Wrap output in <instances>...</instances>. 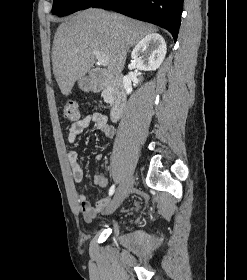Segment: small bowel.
Here are the masks:
<instances>
[{"label": "small bowel", "instance_id": "1", "mask_svg": "<svg viewBox=\"0 0 247 280\" xmlns=\"http://www.w3.org/2000/svg\"><path fill=\"white\" fill-rule=\"evenodd\" d=\"M90 125L96 130L104 133V135L109 139H112L115 136L116 130L114 126L108 122L107 117L101 113H93L85 116L84 118L78 119L71 124L67 137L69 145H74L77 136ZM95 159L97 161L102 160V155L97 154ZM68 161L74 181L81 182L84 174L76 151L72 150L68 152ZM94 183L99 187L104 188L107 186L108 180L101 171L97 170L94 175ZM77 200L86 221H91L98 213L107 209L111 203L110 199L101 198L97 200L94 205H91L84 194H79Z\"/></svg>", "mask_w": 247, "mask_h": 280}]
</instances>
